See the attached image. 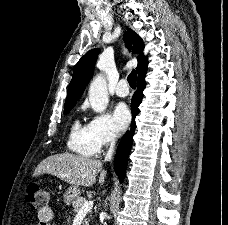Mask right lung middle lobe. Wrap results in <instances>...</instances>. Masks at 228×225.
Wrapping results in <instances>:
<instances>
[{
  "label": "right lung middle lobe",
  "mask_w": 228,
  "mask_h": 225,
  "mask_svg": "<svg viewBox=\"0 0 228 225\" xmlns=\"http://www.w3.org/2000/svg\"><path fill=\"white\" fill-rule=\"evenodd\" d=\"M74 105L75 104L67 106V107H64V114L66 115L74 107Z\"/></svg>",
  "instance_id": "right-lung-middle-lobe-1"
}]
</instances>
